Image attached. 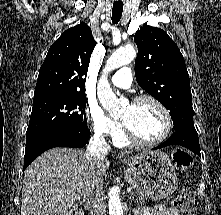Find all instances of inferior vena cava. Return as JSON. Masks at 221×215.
Instances as JSON below:
<instances>
[{"mask_svg": "<svg viewBox=\"0 0 221 215\" xmlns=\"http://www.w3.org/2000/svg\"><path fill=\"white\" fill-rule=\"evenodd\" d=\"M110 149L109 144H107L102 137V133L95 131L93 137L90 139L86 152L88 157L96 161L102 160ZM101 193L102 190L100 189L93 190L87 198L91 215H105V206L101 200Z\"/></svg>", "mask_w": 221, "mask_h": 215, "instance_id": "obj_1", "label": "inferior vena cava"}]
</instances>
